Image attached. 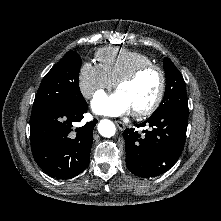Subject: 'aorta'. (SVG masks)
<instances>
[{"mask_svg": "<svg viewBox=\"0 0 221 221\" xmlns=\"http://www.w3.org/2000/svg\"><path fill=\"white\" fill-rule=\"evenodd\" d=\"M98 131L103 137H111L115 135L116 128L112 121L101 120L98 124Z\"/></svg>", "mask_w": 221, "mask_h": 221, "instance_id": "obj_1", "label": "aorta"}]
</instances>
